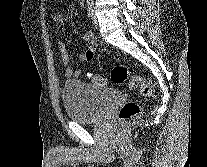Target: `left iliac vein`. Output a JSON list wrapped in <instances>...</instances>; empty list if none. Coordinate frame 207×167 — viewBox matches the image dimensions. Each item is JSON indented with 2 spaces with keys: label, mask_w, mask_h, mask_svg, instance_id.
I'll return each mask as SVG.
<instances>
[{
  "label": "left iliac vein",
  "mask_w": 207,
  "mask_h": 167,
  "mask_svg": "<svg viewBox=\"0 0 207 167\" xmlns=\"http://www.w3.org/2000/svg\"><path fill=\"white\" fill-rule=\"evenodd\" d=\"M94 9H93V15H92V23H93V26L94 27H97L98 26V22H97V18L95 17L94 15Z\"/></svg>",
  "instance_id": "4c4485c4"
}]
</instances>
